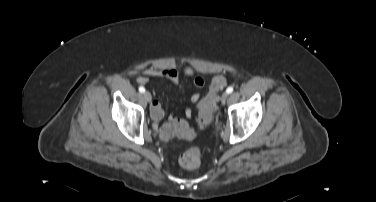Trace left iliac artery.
Instances as JSON below:
<instances>
[{
  "instance_id": "obj_1",
  "label": "left iliac artery",
  "mask_w": 376,
  "mask_h": 202,
  "mask_svg": "<svg viewBox=\"0 0 376 202\" xmlns=\"http://www.w3.org/2000/svg\"><path fill=\"white\" fill-rule=\"evenodd\" d=\"M233 92V87L232 86H229L226 90V93L230 94Z\"/></svg>"
}]
</instances>
